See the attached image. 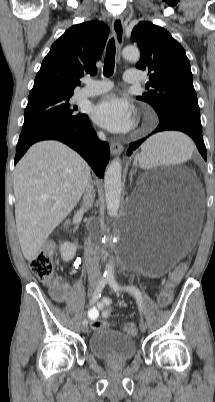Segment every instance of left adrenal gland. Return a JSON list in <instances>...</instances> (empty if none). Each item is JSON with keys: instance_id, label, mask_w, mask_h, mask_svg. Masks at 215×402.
Masks as SVG:
<instances>
[{"instance_id": "left-adrenal-gland-1", "label": "left adrenal gland", "mask_w": 215, "mask_h": 402, "mask_svg": "<svg viewBox=\"0 0 215 402\" xmlns=\"http://www.w3.org/2000/svg\"><path fill=\"white\" fill-rule=\"evenodd\" d=\"M132 175L133 173H130V182H132Z\"/></svg>"}]
</instances>
